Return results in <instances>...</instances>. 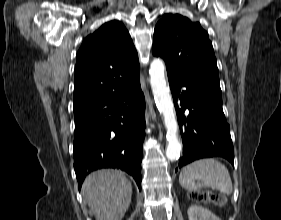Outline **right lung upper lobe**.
<instances>
[{"label":"right lung upper lobe","instance_id":"obj_1","mask_svg":"<svg viewBox=\"0 0 281 220\" xmlns=\"http://www.w3.org/2000/svg\"><path fill=\"white\" fill-rule=\"evenodd\" d=\"M139 79L132 39L116 20L87 36L77 53L74 111L131 87Z\"/></svg>","mask_w":281,"mask_h":220}]
</instances>
